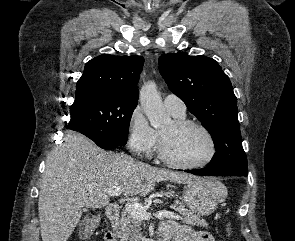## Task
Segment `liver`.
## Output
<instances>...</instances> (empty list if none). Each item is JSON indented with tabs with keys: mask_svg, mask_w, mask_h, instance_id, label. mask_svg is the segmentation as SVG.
<instances>
[{
	"mask_svg": "<svg viewBox=\"0 0 295 241\" xmlns=\"http://www.w3.org/2000/svg\"><path fill=\"white\" fill-rule=\"evenodd\" d=\"M63 140L48 154L40 184L42 241H67L81 219L82 208L106 206L110 188L121 187L125 196H145L156 182L202 180L106 152L78 133L68 132Z\"/></svg>",
	"mask_w": 295,
	"mask_h": 241,
	"instance_id": "liver-1",
	"label": "liver"
}]
</instances>
